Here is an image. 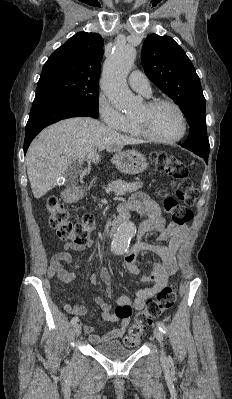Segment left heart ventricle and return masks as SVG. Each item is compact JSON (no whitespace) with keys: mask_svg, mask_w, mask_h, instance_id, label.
I'll use <instances>...</instances> for the list:
<instances>
[{"mask_svg":"<svg viewBox=\"0 0 232 399\" xmlns=\"http://www.w3.org/2000/svg\"><path fill=\"white\" fill-rule=\"evenodd\" d=\"M133 118L141 120L147 131L157 138H174L182 130L179 113L170 105H160L152 110L142 105Z\"/></svg>","mask_w":232,"mask_h":399,"instance_id":"1","label":"left heart ventricle"}]
</instances>
